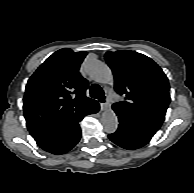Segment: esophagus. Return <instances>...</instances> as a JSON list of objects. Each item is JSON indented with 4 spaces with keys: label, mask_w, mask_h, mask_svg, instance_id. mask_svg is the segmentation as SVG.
I'll list each match as a JSON object with an SVG mask.
<instances>
[{
    "label": "esophagus",
    "mask_w": 194,
    "mask_h": 193,
    "mask_svg": "<svg viewBox=\"0 0 194 193\" xmlns=\"http://www.w3.org/2000/svg\"><path fill=\"white\" fill-rule=\"evenodd\" d=\"M108 103L105 102V103H100V107H101V110H105L106 108H108Z\"/></svg>",
    "instance_id": "esophagus-1"
}]
</instances>
